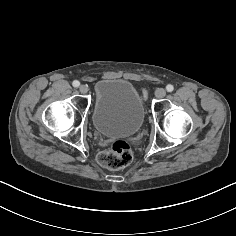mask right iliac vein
I'll return each instance as SVG.
<instances>
[{
    "instance_id": "right-iliac-vein-1",
    "label": "right iliac vein",
    "mask_w": 236,
    "mask_h": 236,
    "mask_svg": "<svg viewBox=\"0 0 236 236\" xmlns=\"http://www.w3.org/2000/svg\"><path fill=\"white\" fill-rule=\"evenodd\" d=\"M79 91H80V93H82V94H86V93L88 92V87H87L86 85H81V86L79 87Z\"/></svg>"
}]
</instances>
